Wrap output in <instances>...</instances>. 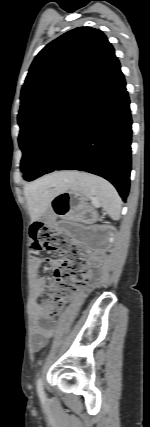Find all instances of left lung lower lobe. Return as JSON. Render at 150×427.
<instances>
[{"mask_svg": "<svg viewBox=\"0 0 150 427\" xmlns=\"http://www.w3.org/2000/svg\"><path fill=\"white\" fill-rule=\"evenodd\" d=\"M125 80L115 57L78 92L35 143L24 179L80 170L110 181L126 201L130 187L132 120Z\"/></svg>", "mask_w": 150, "mask_h": 427, "instance_id": "0a47b994", "label": "left lung lower lobe"}]
</instances>
